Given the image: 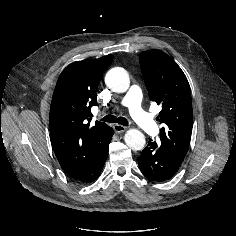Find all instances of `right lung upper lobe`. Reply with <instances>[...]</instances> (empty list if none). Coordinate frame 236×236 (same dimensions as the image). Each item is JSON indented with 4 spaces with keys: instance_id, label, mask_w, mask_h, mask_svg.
<instances>
[{
    "instance_id": "cb5924a9",
    "label": "right lung upper lobe",
    "mask_w": 236,
    "mask_h": 236,
    "mask_svg": "<svg viewBox=\"0 0 236 236\" xmlns=\"http://www.w3.org/2000/svg\"><path fill=\"white\" fill-rule=\"evenodd\" d=\"M113 56L76 61L57 81L49 115L50 138L66 173L82 174L103 150L110 127L100 121L90 126L91 107L97 105V87Z\"/></svg>"
}]
</instances>
